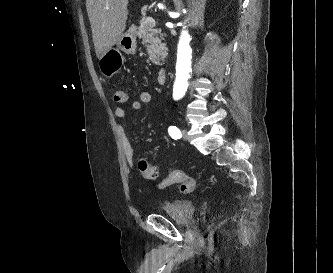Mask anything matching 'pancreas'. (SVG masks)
Wrapping results in <instances>:
<instances>
[{
    "mask_svg": "<svg viewBox=\"0 0 333 273\" xmlns=\"http://www.w3.org/2000/svg\"><path fill=\"white\" fill-rule=\"evenodd\" d=\"M142 15H145V10H142ZM154 26H151L145 21L143 17L140 20V26L137 28V36L142 39V43L147 48V53L151 61L157 65H160L161 61H164V58L167 55L166 44L162 42L163 34L160 29H154Z\"/></svg>",
    "mask_w": 333,
    "mask_h": 273,
    "instance_id": "cf45deb5",
    "label": "pancreas"
}]
</instances>
